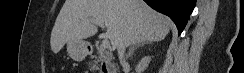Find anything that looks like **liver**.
<instances>
[{
	"mask_svg": "<svg viewBox=\"0 0 244 73\" xmlns=\"http://www.w3.org/2000/svg\"><path fill=\"white\" fill-rule=\"evenodd\" d=\"M96 19L107 31L100 38H109L112 50L125 41L126 46L163 40L172 21L142 0H66L51 32L50 45L57 54L71 40H83L95 35Z\"/></svg>",
	"mask_w": 244,
	"mask_h": 73,
	"instance_id": "obj_1",
	"label": "liver"
}]
</instances>
